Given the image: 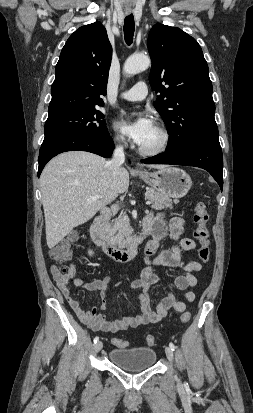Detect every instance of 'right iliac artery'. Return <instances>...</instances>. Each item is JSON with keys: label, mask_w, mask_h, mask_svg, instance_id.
Returning a JSON list of instances; mask_svg holds the SVG:
<instances>
[{"label": "right iliac artery", "mask_w": 253, "mask_h": 413, "mask_svg": "<svg viewBox=\"0 0 253 413\" xmlns=\"http://www.w3.org/2000/svg\"><path fill=\"white\" fill-rule=\"evenodd\" d=\"M98 340H99V338L95 337L93 341H94V343H97Z\"/></svg>", "instance_id": "1"}]
</instances>
